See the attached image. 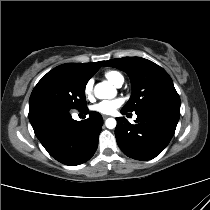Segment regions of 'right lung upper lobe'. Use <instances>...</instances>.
Returning <instances> with one entry per match:
<instances>
[{
	"mask_svg": "<svg viewBox=\"0 0 210 210\" xmlns=\"http://www.w3.org/2000/svg\"><path fill=\"white\" fill-rule=\"evenodd\" d=\"M103 62L104 61L95 62V63H83V64L66 63L57 66L51 71H65L88 81L102 66Z\"/></svg>",
	"mask_w": 210,
	"mask_h": 210,
	"instance_id": "obj_1",
	"label": "right lung upper lobe"
}]
</instances>
